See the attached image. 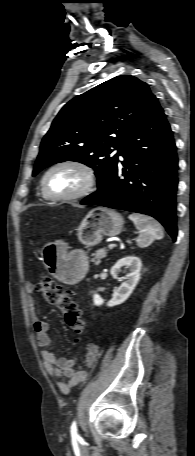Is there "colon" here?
Segmentation results:
<instances>
[{
	"mask_svg": "<svg viewBox=\"0 0 195 456\" xmlns=\"http://www.w3.org/2000/svg\"><path fill=\"white\" fill-rule=\"evenodd\" d=\"M36 290L47 303L60 309L65 322L76 334L83 332L85 322L82 310L68 291L49 277H43L36 285Z\"/></svg>",
	"mask_w": 195,
	"mask_h": 456,
	"instance_id": "colon-1",
	"label": "colon"
}]
</instances>
